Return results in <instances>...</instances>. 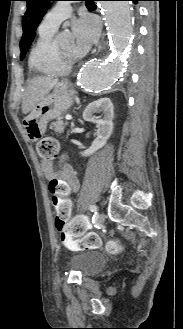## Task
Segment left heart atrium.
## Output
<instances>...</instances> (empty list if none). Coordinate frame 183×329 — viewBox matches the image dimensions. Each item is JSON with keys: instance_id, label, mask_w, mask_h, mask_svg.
<instances>
[{"instance_id": "1", "label": "left heart atrium", "mask_w": 183, "mask_h": 329, "mask_svg": "<svg viewBox=\"0 0 183 329\" xmlns=\"http://www.w3.org/2000/svg\"><path fill=\"white\" fill-rule=\"evenodd\" d=\"M76 49L83 54L97 41L100 28L95 18L83 17L72 24Z\"/></svg>"}]
</instances>
